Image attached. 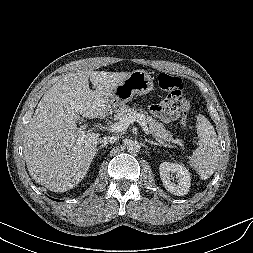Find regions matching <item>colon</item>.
<instances>
[{
	"label": "colon",
	"instance_id": "colon-1",
	"mask_svg": "<svg viewBox=\"0 0 253 253\" xmlns=\"http://www.w3.org/2000/svg\"><path fill=\"white\" fill-rule=\"evenodd\" d=\"M157 81L162 89L170 92L171 97L179 100L180 109L183 116V123L187 125L189 102L183 96V89H184L183 81L179 77L173 76L166 72H160L157 75Z\"/></svg>",
	"mask_w": 253,
	"mask_h": 253
}]
</instances>
